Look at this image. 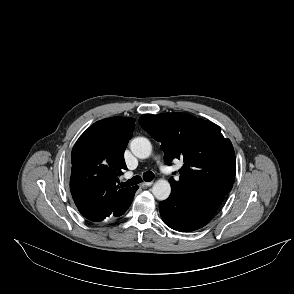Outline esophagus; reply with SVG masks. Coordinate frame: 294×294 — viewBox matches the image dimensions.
<instances>
[{
	"mask_svg": "<svg viewBox=\"0 0 294 294\" xmlns=\"http://www.w3.org/2000/svg\"><path fill=\"white\" fill-rule=\"evenodd\" d=\"M153 184V182L152 181H150V182H143V183H141V187H149V186H151Z\"/></svg>",
	"mask_w": 294,
	"mask_h": 294,
	"instance_id": "34e87169",
	"label": "esophagus"
}]
</instances>
